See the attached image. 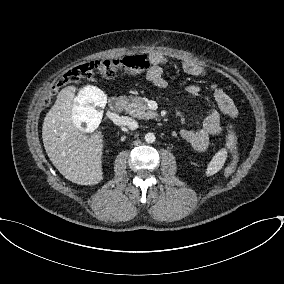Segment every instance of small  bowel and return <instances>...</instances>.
I'll use <instances>...</instances> for the list:
<instances>
[{
    "label": "small bowel",
    "instance_id": "small-bowel-1",
    "mask_svg": "<svg viewBox=\"0 0 284 284\" xmlns=\"http://www.w3.org/2000/svg\"><path fill=\"white\" fill-rule=\"evenodd\" d=\"M149 58L152 66L146 75V79L155 87H166L167 82L163 77V72L164 66L168 62V56L161 51H154L150 53ZM182 67L184 72L191 76L205 77L207 75L206 69L193 60H184ZM187 93L208 104L202 126L197 130L184 129L180 133L181 137L188 141L195 151L201 153L207 150L211 137L221 135L224 132L220 124V114L230 119H236L238 111L231 97L217 84L211 85L209 94H204L197 85L188 86Z\"/></svg>",
    "mask_w": 284,
    "mask_h": 284
}]
</instances>
